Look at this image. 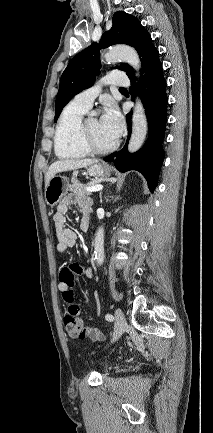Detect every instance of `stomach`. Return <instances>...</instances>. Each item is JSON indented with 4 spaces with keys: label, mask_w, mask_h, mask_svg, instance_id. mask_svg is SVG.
Masks as SVG:
<instances>
[{
    "label": "stomach",
    "mask_w": 213,
    "mask_h": 433,
    "mask_svg": "<svg viewBox=\"0 0 213 433\" xmlns=\"http://www.w3.org/2000/svg\"><path fill=\"white\" fill-rule=\"evenodd\" d=\"M111 167L106 164L94 163L87 168V172L93 177H108L111 175ZM69 181L65 176H54L45 187V201L49 206L57 205L67 194Z\"/></svg>",
    "instance_id": "obj_1"
}]
</instances>
